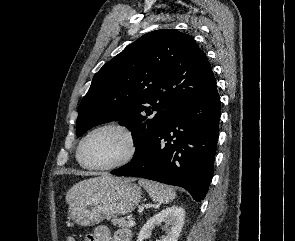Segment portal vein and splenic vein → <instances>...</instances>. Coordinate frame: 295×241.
Segmentation results:
<instances>
[{
	"label": "portal vein and splenic vein",
	"mask_w": 295,
	"mask_h": 241,
	"mask_svg": "<svg viewBox=\"0 0 295 241\" xmlns=\"http://www.w3.org/2000/svg\"><path fill=\"white\" fill-rule=\"evenodd\" d=\"M135 224H136L135 221L132 220V219H130V220L128 221V225H129L130 227H134Z\"/></svg>",
	"instance_id": "18ae733b"
}]
</instances>
